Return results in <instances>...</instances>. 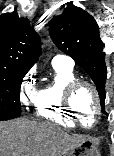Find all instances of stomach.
<instances>
[{
	"instance_id": "obj_1",
	"label": "stomach",
	"mask_w": 114,
	"mask_h": 156,
	"mask_svg": "<svg viewBox=\"0 0 114 156\" xmlns=\"http://www.w3.org/2000/svg\"><path fill=\"white\" fill-rule=\"evenodd\" d=\"M64 156H101L93 139L85 138L70 148Z\"/></svg>"
}]
</instances>
